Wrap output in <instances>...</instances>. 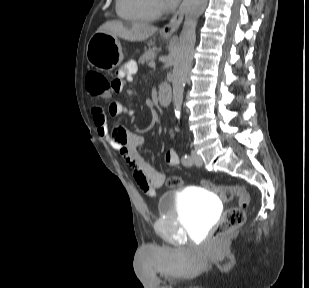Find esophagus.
I'll return each mask as SVG.
<instances>
[{
    "instance_id": "1",
    "label": "esophagus",
    "mask_w": 309,
    "mask_h": 288,
    "mask_svg": "<svg viewBox=\"0 0 309 288\" xmlns=\"http://www.w3.org/2000/svg\"><path fill=\"white\" fill-rule=\"evenodd\" d=\"M185 7H186V0H183L182 4L180 5L179 9L177 12L173 15L171 20L169 21L168 24H166L162 29L161 33L166 35V36H171L173 35L178 27L180 26L183 17H184V12H185Z\"/></svg>"
}]
</instances>
